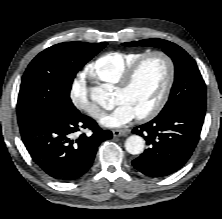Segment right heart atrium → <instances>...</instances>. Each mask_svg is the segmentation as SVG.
Masks as SVG:
<instances>
[{"instance_id": "obj_1", "label": "right heart atrium", "mask_w": 222, "mask_h": 219, "mask_svg": "<svg viewBox=\"0 0 222 219\" xmlns=\"http://www.w3.org/2000/svg\"><path fill=\"white\" fill-rule=\"evenodd\" d=\"M69 98L75 108L88 116L94 119H99L102 116L101 109L88 96L86 80L83 76L77 75L72 80L69 89Z\"/></svg>"}]
</instances>
